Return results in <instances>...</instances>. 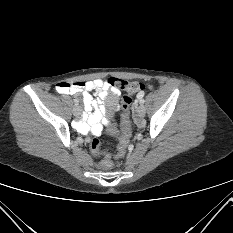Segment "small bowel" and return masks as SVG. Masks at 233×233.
Segmentation results:
<instances>
[{
    "label": "small bowel",
    "mask_w": 233,
    "mask_h": 233,
    "mask_svg": "<svg viewBox=\"0 0 233 233\" xmlns=\"http://www.w3.org/2000/svg\"><path fill=\"white\" fill-rule=\"evenodd\" d=\"M111 85L107 81L95 79L87 82H61L57 84L55 90L60 94L76 95L82 93L84 114L76 123V128L82 133L91 132L93 135H100L103 127L108 125L106 118L107 111L103 104L107 96V91ZM98 95L99 99L95 100L92 94ZM140 91L137 97L143 96ZM119 108H117V111Z\"/></svg>",
    "instance_id": "c3829d8e"
}]
</instances>
